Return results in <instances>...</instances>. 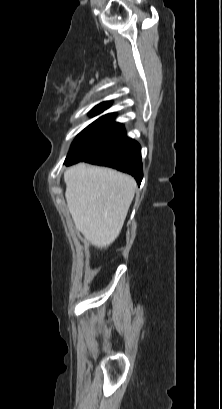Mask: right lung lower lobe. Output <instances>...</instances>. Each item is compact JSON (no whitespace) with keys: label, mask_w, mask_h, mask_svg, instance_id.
Returning <instances> with one entry per match:
<instances>
[{"label":"right lung lower lobe","mask_w":222,"mask_h":409,"mask_svg":"<svg viewBox=\"0 0 222 409\" xmlns=\"http://www.w3.org/2000/svg\"><path fill=\"white\" fill-rule=\"evenodd\" d=\"M83 161L131 174L138 185L143 178L141 147L125 135L123 125L119 123L115 124L102 148ZM65 164L68 166L75 163Z\"/></svg>","instance_id":"98d812e1"}]
</instances>
